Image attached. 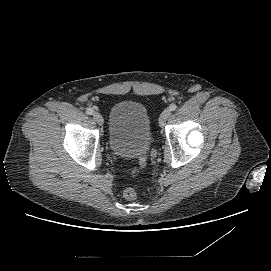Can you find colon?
<instances>
[{
	"label": "colon",
	"mask_w": 271,
	"mask_h": 271,
	"mask_svg": "<svg viewBox=\"0 0 271 271\" xmlns=\"http://www.w3.org/2000/svg\"><path fill=\"white\" fill-rule=\"evenodd\" d=\"M139 196V192L136 188L129 187L124 191V197L128 200H135Z\"/></svg>",
	"instance_id": "5ec220e1"
}]
</instances>
